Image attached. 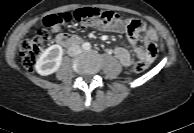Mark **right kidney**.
Listing matches in <instances>:
<instances>
[{
  "instance_id": "ca27d5eb",
  "label": "right kidney",
  "mask_w": 194,
  "mask_h": 133,
  "mask_svg": "<svg viewBox=\"0 0 194 133\" xmlns=\"http://www.w3.org/2000/svg\"><path fill=\"white\" fill-rule=\"evenodd\" d=\"M63 49L60 45H52L38 58L35 70L42 76H48L58 70L62 62Z\"/></svg>"
}]
</instances>
